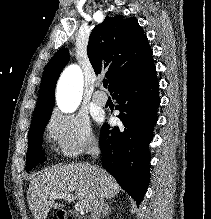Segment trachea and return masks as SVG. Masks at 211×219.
<instances>
[{"instance_id":"1","label":"trachea","mask_w":211,"mask_h":219,"mask_svg":"<svg viewBox=\"0 0 211 219\" xmlns=\"http://www.w3.org/2000/svg\"><path fill=\"white\" fill-rule=\"evenodd\" d=\"M103 85H104V87H107L108 81H107V80H104V81H103Z\"/></svg>"}]
</instances>
